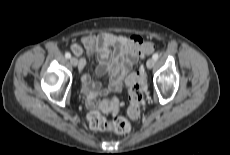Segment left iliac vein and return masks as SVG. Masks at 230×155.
Returning a JSON list of instances; mask_svg holds the SVG:
<instances>
[{
    "label": "left iliac vein",
    "mask_w": 230,
    "mask_h": 155,
    "mask_svg": "<svg viewBox=\"0 0 230 155\" xmlns=\"http://www.w3.org/2000/svg\"><path fill=\"white\" fill-rule=\"evenodd\" d=\"M154 64H155V60L153 58L148 59L146 62V66L148 69L153 68Z\"/></svg>",
    "instance_id": "left-iliac-vein-1"
}]
</instances>
